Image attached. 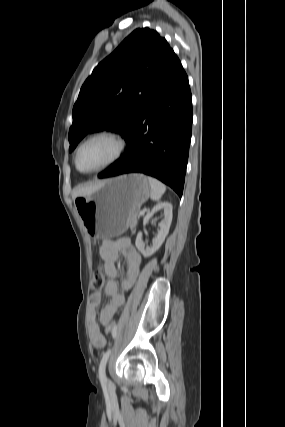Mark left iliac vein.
Wrapping results in <instances>:
<instances>
[{"mask_svg":"<svg viewBox=\"0 0 285 427\" xmlns=\"http://www.w3.org/2000/svg\"><path fill=\"white\" fill-rule=\"evenodd\" d=\"M108 386H109V388H111V386H112L111 383H108Z\"/></svg>","mask_w":285,"mask_h":427,"instance_id":"4c4485c4","label":"left iliac vein"}]
</instances>
